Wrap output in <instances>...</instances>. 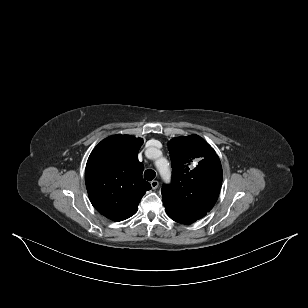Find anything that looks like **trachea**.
<instances>
[{
    "instance_id": "3493384b",
    "label": "trachea",
    "mask_w": 308,
    "mask_h": 308,
    "mask_svg": "<svg viewBox=\"0 0 308 308\" xmlns=\"http://www.w3.org/2000/svg\"><path fill=\"white\" fill-rule=\"evenodd\" d=\"M156 176V173L154 170L152 169H148L144 172V178L147 180V181H152Z\"/></svg>"
}]
</instances>
